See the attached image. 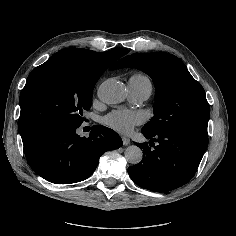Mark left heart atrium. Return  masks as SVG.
<instances>
[{"label":"left heart atrium","mask_w":236,"mask_h":236,"mask_svg":"<svg viewBox=\"0 0 236 236\" xmlns=\"http://www.w3.org/2000/svg\"><path fill=\"white\" fill-rule=\"evenodd\" d=\"M103 121L117 132L129 135L134 127L141 122V116L133 111L117 110L105 116Z\"/></svg>","instance_id":"left-heart-atrium-1"}]
</instances>
